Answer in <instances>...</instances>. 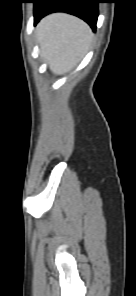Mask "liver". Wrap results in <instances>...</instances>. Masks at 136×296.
<instances>
[{"label":"liver","mask_w":136,"mask_h":296,"mask_svg":"<svg viewBox=\"0 0 136 296\" xmlns=\"http://www.w3.org/2000/svg\"><path fill=\"white\" fill-rule=\"evenodd\" d=\"M36 37L41 57L49 69L56 75H64L84 57L93 34L81 19L66 13H53L40 21Z\"/></svg>","instance_id":"6515ba94"}]
</instances>
